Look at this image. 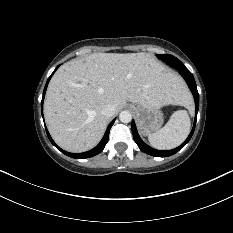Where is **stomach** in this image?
I'll use <instances>...</instances> for the list:
<instances>
[{
  "instance_id": "obj_1",
  "label": "stomach",
  "mask_w": 233,
  "mask_h": 233,
  "mask_svg": "<svg viewBox=\"0 0 233 233\" xmlns=\"http://www.w3.org/2000/svg\"><path fill=\"white\" fill-rule=\"evenodd\" d=\"M130 108L134 111L140 132L149 135L157 131L163 124V114L160 108L146 107L132 103Z\"/></svg>"
}]
</instances>
